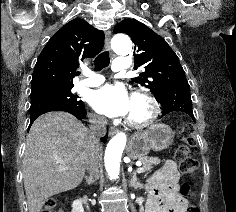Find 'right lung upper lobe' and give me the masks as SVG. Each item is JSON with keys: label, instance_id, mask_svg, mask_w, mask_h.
Instances as JSON below:
<instances>
[{"label": "right lung upper lobe", "instance_id": "right-lung-upper-lobe-1", "mask_svg": "<svg viewBox=\"0 0 236 212\" xmlns=\"http://www.w3.org/2000/svg\"><path fill=\"white\" fill-rule=\"evenodd\" d=\"M104 46V33L83 19L65 24L47 42L32 74L31 92L72 86L79 62L93 58Z\"/></svg>", "mask_w": 236, "mask_h": 212}]
</instances>
